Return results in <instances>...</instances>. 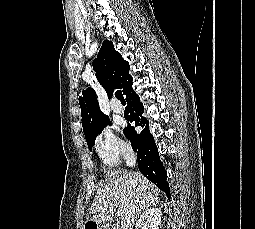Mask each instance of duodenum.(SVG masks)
<instances>
[{
	"label": "duodenum",
	"mask_w": 255,
	"mask_h": 229,
	"mask_svg": "<svg viewBox=\"0 0 255 229\" xmlns=\"http://www.w3.org/2000/svg\"><path fill=\"white\" fill-rule=\"evenodd\" d=\"M105 229H113L112 227H110V226H107Z\"/></svg>",
	"instance_id": "410a0bca"
}]
</instances>
